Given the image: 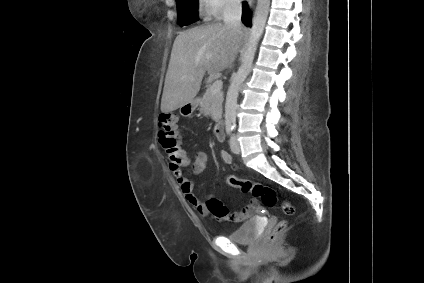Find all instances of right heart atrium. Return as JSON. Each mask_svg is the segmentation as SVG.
Segmentation results:
<instances>
[{"mask_svg":"<svg viewBox=\"0 0 424 283\" xmlns=\"http://www.w3.org/2000/svg\"><path fill=\"white\" fill-rule=\"evenodd\" d=\"M241 0H198L202 13L209 17L221 18L236 10Z\"/></svg>","mask_w":424,"mask_h":283,"instance_id":"1","label":"right heart atrium"}]
</instances>
